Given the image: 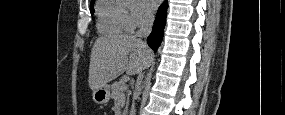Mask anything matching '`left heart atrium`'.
I'll use <instances>...</instances> for the list:
<instances>
[{
  "label": "left heart atrium",
  "mask_w": 285,
  "mask_h": 115,
  "mask_svg": "<svg viewBox=\"0 0 285 115\" xmlns=\"http://www.w3.org/2000/svg\"><path fill=\"white\" fill-rule=\"evenodd\" d=\"M158 4V0H144L143 6L146 9L147 12L151 13L153 12Z\"/></svg>",
  "instance_id": "39dd6f15"
}]
</instances>
